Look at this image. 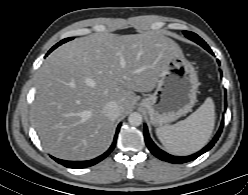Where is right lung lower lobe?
Masks as SVG:
<instances>
[{
	"label": "right lung lower lobe",
	"instance_id": "1",
	"mask_svg": "<svg viewBox=\"0 0 248 195\" xmlns=\"http://www.w3.org/2000/svg\"><path fill=\"white\" fill-rule=\"evenodd\" d=\"M120 126L121 124L118 125L117 127V131L114 137V141L111 145V147L108 149V151H106L104 154L92 159V160H87V161H66V160H61V159H57L52 157L56 162H58L61 165H64L65 167L68 168H77V169H81V168H86V167H90L92 165L97 164L98 162L102 161L104 158H106L110 152L114 149L115 145H116V140H117V136H118V132L120 130Z\"/></svg>",
	"mask_w": 248,
	"mask_h": 195
}]
</instances>
